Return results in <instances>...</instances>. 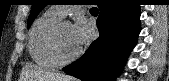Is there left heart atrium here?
Returning <instances> with one entry per match:
<instances>
[{
    "label": "left heart atrium",
    "instance_id": "39dd6f15",
    "mask_svg": "<svg viewBox=\"0 0 169 81\" xmlns=\"http://www.w3.org/2000/svg\"><path fill=\"white\" fill-rule=\"evenodd\" d=\"M71 33L77 47L81 46L89 36V27L83 17H78L71 26Z\"/></svg>",
    "mask_w": 169,
    "mask_h": 81
}]
</instances>
